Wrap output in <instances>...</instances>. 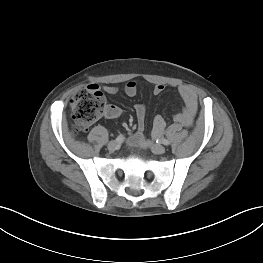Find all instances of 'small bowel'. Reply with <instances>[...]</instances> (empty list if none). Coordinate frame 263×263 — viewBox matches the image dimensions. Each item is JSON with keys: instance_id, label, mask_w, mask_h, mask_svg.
Segmentation results:
<instances>
[{"instance_id": "1", "label": "small bowel", "mask_w": 263, "mask_h": 263, "mask_svg": "<svg viewBox=\"0 0 263 263\" xmlns=\"http://www.w3.org/2000/svg\"><path fill=\"white\" fill-rule=\"evenodd\" d=\"M164 89V85L157 84L153 88V93L155 95H159L164 91ZM103 90L109 95H114L118 92V88L114 86H104ZM137 91L138 87L135 81H129L124 87V92L129 97H134L137 94ZM178 92L184 102V108L180 113L176 114L175 121L182 125L188 126L193 122L197 112V96L195 92L187 85H180L178 87ZM134 110L137 118L138 129L129 137L128 141L129 144L132 146L141 147L145 145L143 130L145 125L146 108L143 104H136L134 106ZM104 115L106 118L109 119L118 118L121 115V109L116 105H108L106 107ZM165 125L166 124L164 119L160 115H157L153 121L152 134L154 136H159L160 134H162L165 129Z\"/></svg>"}]
</instances>
